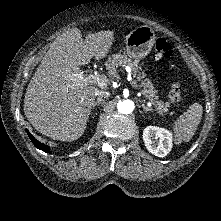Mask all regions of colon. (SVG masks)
Listing matches in <instances>:
<instances>
[{
	"label": "colon",
	"instance_id": "5ec220e1",
	"mask_svg": "<svg viewBox=\"0 0 221 221\" xmlns=\"http://www.w3.org/2000/svg\"><path fill=\"white\" fill-rule=\"evenodd\" d=\"M172 47L167 39L159 37L155 40L152 55L156 62L165 64L169 62L172 56ZM169 97L174 103L182 101L183 93L181 86L177 82H173L169 87Z\"/></svg>",
	"mask_w": 221,
	"mask_h": 221
}]
</instances>
